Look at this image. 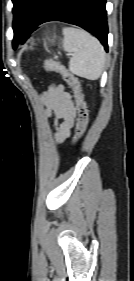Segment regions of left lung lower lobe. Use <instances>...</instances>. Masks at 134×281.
Instances as JSON below:
<instances>
[{
	"label": "left lung lower lobe",
	"mask_w": 134,
	"mask_h": 281,
	"mask_svg": "<svg viewBox=\"0 0 134 281\" xmlns=\"http://www.w3.org/2000/svg\"><path fill=\"white\" fill-rule=\"evenodd\" d=\"M105 3L106 0H42L27 27L14 31L13 48L23 43L38 25L48 21H63L91 32L107 50Z\"/></svg>",
	"instance_id": "0a47b994"
}]
</instances>
